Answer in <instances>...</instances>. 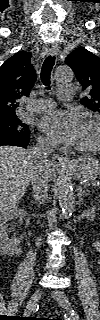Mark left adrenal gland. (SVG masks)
Listing matches in <instances>:
<instances>
[{"mask_svg": "<svg viewBox=\"0 0 100 320\" xmlns=\"http://www.w3.org/2000/svg\"><path fill=\"white\" fill-rule=\"evenodd\" d=\"M77 192H78L77 196H78L79 201L83 202V197L88 195V190L79 186L77 189Z\"/></svg>", "mask_w": 100, "mask_h": 320, "instance_id": "obj_1", "label": "left adrenal gland"}]
</instances>
